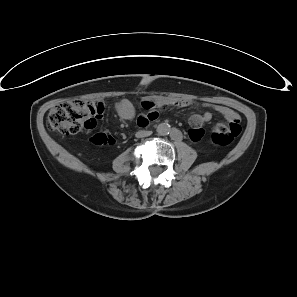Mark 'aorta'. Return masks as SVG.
<instances>
[{"instance_id": "aorta-1", "label": "aorta", "mask_w": 297, "mask_h": 297, "mask_svg": "<svg viewBox=\"0 0 297 297\" xmlns=\"http://www.w3.org/2000/svg\"><path fill=\"white\" fill-rule=\"evenodd\" d=\"M156 131L159 135H167L169 134V131H170V125L167 124V123H160L157 128H156Z\"/></svg>"}]
</instances>
